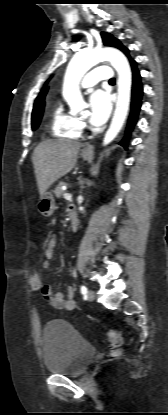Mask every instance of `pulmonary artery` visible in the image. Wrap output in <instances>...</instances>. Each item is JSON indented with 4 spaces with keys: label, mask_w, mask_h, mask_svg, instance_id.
<instances>
[{
    "label": "pulmonary artery",
    "mask_w": 168,
    "mask_h": 415,
    "mask_svg": "<svg viewBox=\"0 0 168 415\" xmlns=\"http://www.w3.org/2000/svg\"><path fill=\"white\" fill-rule=\"evenodd\" d=\"M111 78V69L108 66H99L85 75L81 82V86L84 88L92 87L101 80H110Z\"/></svg>",
    "instance_id": "1"
}]
</instances>
